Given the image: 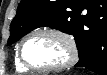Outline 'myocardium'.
<instances>
[{
  "mask_svg": "<svg viewBox=\"0 0 107 75\" xmlns=\"http://www.w3.org/2000/svg\"><path fill=\"white\" fill-rule=\"evenodd\" d=\"M38 34L52 35L63 41L68 48V52H69L68 59L61 64L53 65V66H35L29 63L25 59L23 54L24 45L31 37ZM17 53H18V58L22 63V65H24L26 68L30 70L39 71V72L58 71V70L66 69L74 65L79 57V49L75 38L67 31L57 27H40L29 32L19 43Z\"/></svg>",
  "mask_w": 107,
  "mask_h": 75,
  "instance_id": "myocardium-1",
  "label": "myocardium"
}]
</instances>
